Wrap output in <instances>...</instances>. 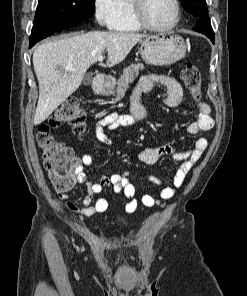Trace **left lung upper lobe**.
Returning <instances> with one entry per match:
<instances>
[{
    "mask_svg": "<svg viewBox=\"0 0 247 296\" xmlns=\"http://www.w3.org/2000/svg\"><path fill=\"white\" fill-rule=\"evenodd\" d=\"M188 13L196 17L207 15L208 9L206 0H180Z\"/></svg>",
    "mask_w": 247,
    "mask_h": 296,
    "instance_id": "obj_1",
    "label": "left lung upper lobe"
}]
</instances>
